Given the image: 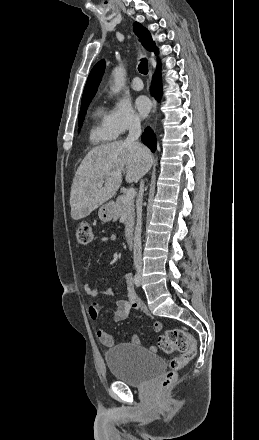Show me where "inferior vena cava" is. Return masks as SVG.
Masks as SVG:
<instances>
[{"mask_svg":"<svg viewBox=\"0 0 259 440\" xmlns=\"http://www.w3.org/2000/svg\"><path fill=\"white\" fill-rule=\"evenodd\" d=\"M129 133L126 138V142L137 145L143 152L146 148L138 142V138L141 135V123L138 119L133 118L129 122L128 127ZM144 193V181L140 183V189L138 198L136 201V213H137V223L134 233V246H133V260L136 270L142 269V243H141V230H142V201Z\"/></svg>","mask_w":259,"mask_h":440,"instance_id":"602c4592","label":"inferior vena cava"}]
</instances>
